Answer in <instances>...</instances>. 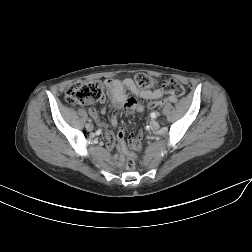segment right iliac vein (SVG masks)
Segmentation results:
<instances>
[{
  "mask_svg": "<svg viewBox=\"0 0 252 252\" xmlns=\"http://www.w3.org/2000/svg\"><path fill=\"white\" fill-rule=\"evenodd\" d=\"M86 129L88 130V131H92L93 129H94V126L92 125V124H87L86 125Z\"/></svg>",
  "mask_w": 252,
  "mask_h": 252,
  "instance_id": "63e3f726",
  "label": "right iliac vein"
}]
</instances>
